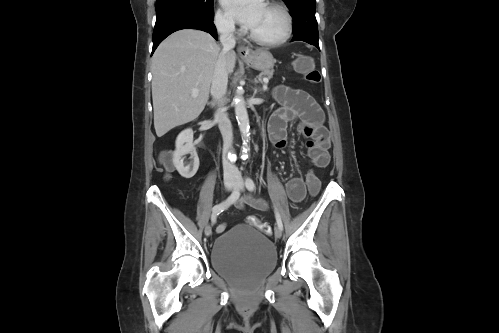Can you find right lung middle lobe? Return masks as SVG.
<instances>
[{"mask_svg":"<svg viewBox=\"0 0 499 333\" xmlns=\"http://www.w3.org/2000/svg\"><path fill=\"white\" fill-rule=\"evenodd\" d=\"M214 0H156V21L178 14L213 17Z\"/></svg>","mask_w":499,"mask_h":333,"instance_id":"obj_1","label":"right lung middle lobe"}]
</instances>
